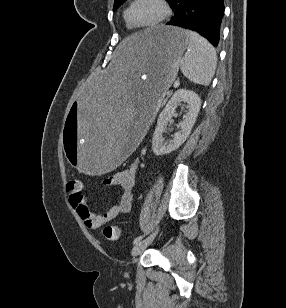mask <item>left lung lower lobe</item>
<instances>
[{
    "instance_id": "obj_1",
    "label": "left lung lower lobe",
    "mask_w": 286,
    "mask_h": 308,
    "mask_svg": "<svg viewBox=\"0 0 286 308\" xmlns=\"http://www.w3.org/2000/svg\"><path fill=\"white\" fill-rule=\"evenodd\" d=\"M170 7L175 15L168 25L196 31L215 47L218 45L224 15L223 0H172Z\"/></svg>"
}]
</instances>
